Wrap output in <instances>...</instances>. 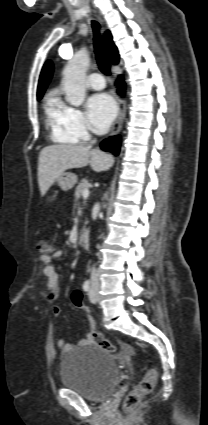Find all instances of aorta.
Returning <instances> with one entry per match:
<instances>
[{"mask_svg": "<svg viewBox=\"0 0 208 425\" xmlns=\"http://www.w3.org/2000/svg\"><path fill=\"white\" fill-rule=\"evenodd\" d=\"M90 58L87 52L79 51L68 62L63 72V88L66 101L79 107L85 100V76Z\"/></svg>", "mask_w": 208, "mask_h": 425, "instance_id": "762f6f07", "label": "aorta"}]
</instances>
